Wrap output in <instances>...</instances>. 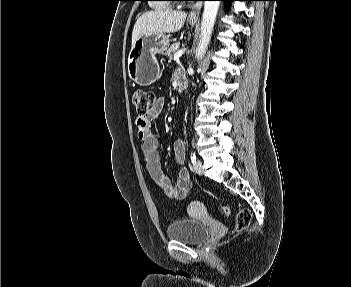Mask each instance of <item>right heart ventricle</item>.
<instances>
[{"mask_svg":"<svg viewBox=\"0 0 351 287\" xmlns=\"http://www.w3.org/2000/svg\"><path fill=\"white\" fill-rule=\"evenodd\" d=\"M153 4L152 7L156 10H162V9H166L167 5L165 3H162L163 1H159V0H153ZM159 2V3H156Z\"/></svg>","mask_w":351,"mask_h":287,"instance_id":"obj_1","label":"right heart ventricle"}]
</instances>
